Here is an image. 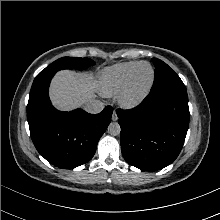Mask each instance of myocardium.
<instances>
[{
    "label": "myocardium",
    "instance_id": "obj_1",
    "mask_svg": "<svg viewBox=\"0 0 220 220\" xmlns=\"http://www.w3.org/2000/svg\"><path fill=\"white\" fill-rule=\"evenodd\" d=\"M142 65H146L150 68L151 77L145 87H143L140 90H136L134 88V77L136 71ZM154 79H155V72L153 67L147 62H139L129 74L125 86L119 93V102L121 103V105L125 108H135L139 106L149 95L154 83Z\"/></svg>",
    "mask_w": 220,
    "mask_h": 220
}]
</instances>
